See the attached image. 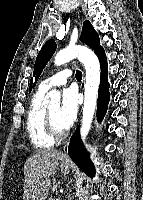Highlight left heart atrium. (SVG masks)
I'll use <instances>...</instances> for the list:
<instances>
[{"instance_id":"obj_1","label":"left heart atrium","mask_w":143,"mask_h":200,"mask_svg":"<svg viewBox=\"0 0 143 200\" xmlns=\"http://www.w3.org/2000/svg\"><path fill=\"white\" fill-rule=\"evenodd\" d=\"M78 95L72 88L65 89L62 94V104L59 109V120L68 129L77 117Z\"/></svg>"}]
</instances>
